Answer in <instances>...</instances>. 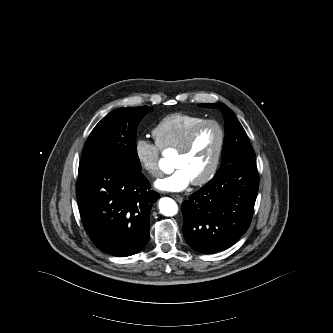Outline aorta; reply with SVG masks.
Returning a JSON list of instances; mask_svg holds the SVG:
<instances>
[{"instance_id":"aorta-1","label":"aorta","mask_w":333,"mask_h":333,"mask_svg":"<svg viewBox=\"0 0 333 333\" xmlns=\"http://www.w3.org/2000/svg\"><path fill=\"white\" fill-rule=\"evenodd\" d=\"M159 165L161 168L171 167V163L167 158H162L159 161ZM159 210L162 215L171 217L177 214L178 205L173 199L164 197L159 200Z\"/></svg>"}]
</instances>
